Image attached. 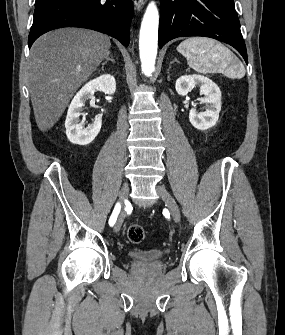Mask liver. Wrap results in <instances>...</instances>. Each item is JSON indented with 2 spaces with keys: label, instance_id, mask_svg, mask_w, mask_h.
Here are the masks:
<instances>
[{
  "label": "liver",
  "instance_id": "liver-1",
  "mask_svg": "<svg viewBox=\"0 0 285 335\" xmlns=\"http://www.w3.org/2000/svg\"><path fill=\"white\" fill-rule=\"evenodd\" d=\"M110 46L108 36L84 28H62L36 40L30 50L27 74L41 132L58 122L76 90L110 54Z\"/></svg>",
  "mask_w": 285,
  "mask_h": 335
}]
</instances>
